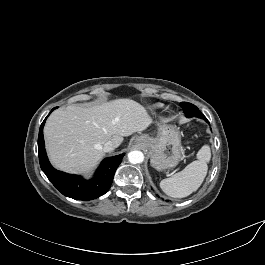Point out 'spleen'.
I'll return each mask as SVG.
<instances>
[{
    "instance_id": "3e777b00",
    "label": "spleen",
    "mask_w": 265,
    "mask_h": 265,
    "mask_svg": "<svg viewBox=\"0 0 265 265\" xmlns=\"http://www.w3.org/2000/svg\"><path fill=\"white\" fill-rule=\"evenodd\" d=\"M210 158V147L204 145L197 153V160L187 165L181 172L160 182L163 192L173 198H183L195 192L207 175V163Z\"/></svg>"
}]
</instances>
